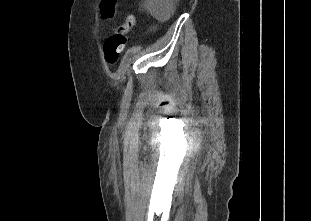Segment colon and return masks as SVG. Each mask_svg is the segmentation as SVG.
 I'll list each match as a JSON object with an SVG mask.
<instances>
[{
    "instance_id": "obj_1",
    "label": "colon",
    "mask_w": 311,
    "mask_h": 221,
    "mask_svg": "<svg viewBox=\"0 0 311 221\" xmlns=\"http://www.w3.org/2000/svg\"><path fill=\"white\" fill-rule=\"evenodd\" d=\"M119 0H105L102 10H99L98 15L103 20H110L117 8ZM134 25V17L128 16L123 23H121L116 31L131 30ZM127 36H109L104 42V57L106 61L113 65L119 58L123 48L126 44Z\"/></svg>"
}]
</instances>
